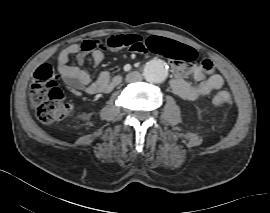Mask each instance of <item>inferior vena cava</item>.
Wrapping results in <instances>:
<instances>
[{"instance_id":"1","label":"inferior vena cava","mask_w":270,"mask_h":213,"mask_svg":"<svg viewBox=\"0 0 270 213\" xmlns=\"http://www.w3.org/2000/svg\"><path fill=\"white\" fill-rule=\"evenodd\" d=\"M141 80H142V75L137 71L130 72L126 76V81L129 83L139 82Z\"/></svg>"}]
</instances>
